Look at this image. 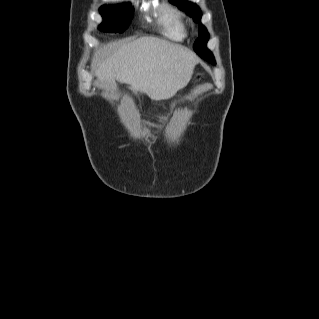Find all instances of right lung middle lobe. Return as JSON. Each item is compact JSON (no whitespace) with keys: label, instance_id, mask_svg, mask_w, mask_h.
<instances>
[{"label":"right lung middle lobe","instance_id":"obj_1","mask_svg":"<svg viewBox=\"0 0 319 319\" xmlns=\"http://www.w3.org/2000/svg\"><path fill=\"white\" fill-rule=\"evenodd\" d=\"M134 8L128 4L104 5L100 8V13L104 21L99 25V29L104 32L122 33L129 25Z\"/></svg>","mask_w":319,"mask_h":319}]
</instances>
